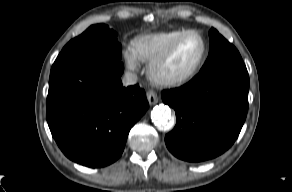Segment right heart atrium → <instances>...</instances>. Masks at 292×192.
I'll list each match as a JSON object with an SVG mask.
<instances>
[{
	"instance_id": "obj_1",
	"label": "right heart atrium",
	"mask_w": 292,
	"mask_h": 192,
	"mask_svg": "<svg viewBox=\"0 0 292 192\" xmlns=\"http://www.w3.org/2000/svg\"><path fill=\"white\" fill-rule=\"evenodd\" d=\"M124 60L130 69H135L137 67V58L131 48L125 49L123 51Z\"/></svg>"
}]
</instances>
